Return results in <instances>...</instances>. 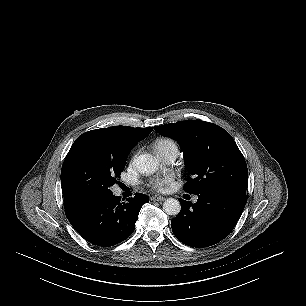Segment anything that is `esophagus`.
Segmentation results:
<instances>
[{"mask_svg":"<svg viewBox=\"0 0 306 306\" xmlns=\"http://www.w3.org/2000/svg\"><path fill=\"white\" fill-rule=\"evenodd\" d=\"M151 200L154 201V202L155 201H164L165 197L159 196V195H154V196L151 197Z\"/></svg>","mask_w":306,"mask_h":306,"instance_id":"34e87169","label":"esophagus"}]
</instances>
